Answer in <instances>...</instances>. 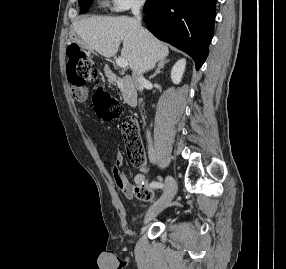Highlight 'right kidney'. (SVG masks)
I'll return each mask as SVG.
<instances>
[{
    "label": "right kidney",
    "mask_w": 286,
    "mask_h": 269,
    "mask_svg": "<svg viewBox=\"0 0 286 269\" xmlns=\"http://www.w3.org/2000/svg\"><path fill=\"white\" fill-rule=\"evenodd\" d=\"M186 66V60H178L171 70V80L174 84H179L181 82L184 70Z\"/></svg>",
    "instance_id": "ca27d5eb"
}]
</instances>
